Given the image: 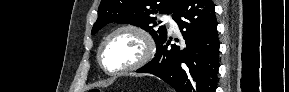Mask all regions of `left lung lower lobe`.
<instances>
[{
  "instance_id": "1",
  "label": "left lung lower lobe",
  "mask_w": 289,
  "mask_h": 92,
  "mask_svg": "<svg viewBox=\"0 0 289 92\" xmlns=\"http://www.w3.org/2000/svg\"><path fill=\"white\" fill-rule=\"evenodd\" d=\"M172 18L183 43L170 45L172 37H166L155 57L137 72L154 74L178 92H215L220 64L213 2L180 0Z\"/></svg>"
}]
</instances>
